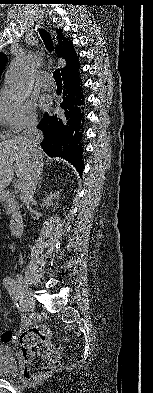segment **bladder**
<instances>
[{
    "instance_id": "obj_1",
    "label": "bladder",
    "mask_w": 153,
    "mask_h": 393,
    "mask_svg": "<svg viewBox=\"0 0 153 393\" xmlns=\"http://www.w3.org/2000/svg\"><path fill=\"white\" fill-rule=\"evenodd\" d=\"M15 367L12 352L7 346H0V376H11Z\"/></svg>"
}]
</instances>
